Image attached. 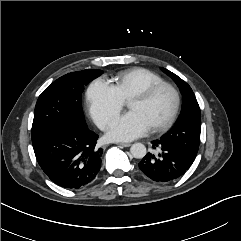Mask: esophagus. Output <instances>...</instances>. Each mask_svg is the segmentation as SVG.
<instances>
[{
	"mask_svg": "<svg viewBox=\"0 0 241 241\" xmlns=\"http://www.w3.org/2000/svg\"><path fill=\"white\" fill-rule=\"evenodd\" d=\"M117 144L120 145V146H123V147H129V146H131L130 143H123V142H120V143H117Z\"/></svg>",
	"mask_w": 241,
	"mask_h": 241,
	"instance_id": "34e87169",
	"label": "esophagus"
}]
</instances>
